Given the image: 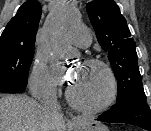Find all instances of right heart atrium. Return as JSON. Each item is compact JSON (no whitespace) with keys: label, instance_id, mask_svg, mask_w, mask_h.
<instances>
[{"label":"right heart atrium","instance_id":"1","mask_svg":"<svg viewBox=\"0 0 151 131\" xmlns=\"http://www.w3.org/2000/svg\"><path fill=\"white\" fill-rule=\"evenodd\" d=\"M29 85L36 97L50 96L54 92L53 76L47 59L42 55H37L33 62Z\"/></svg>","mask_w":151,"mask_h":131}]
</instances>
